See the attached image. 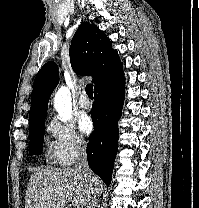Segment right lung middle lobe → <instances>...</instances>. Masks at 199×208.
<instances>
[{"mask_svg": "<svg viewBox=\"0 0 199 208\" xmlns=\"http://www.w3.org/2000/svg\"><path fill=\"white\" fill-rule=\"evenodd\" d=\"M45 133V123L30 130V145L29 153L30 154H40L43 149V140Z\"/></svg>", "mask_w": 199, "mask_h": 208, "instance_id": "1", "label": "right lung middle lobe"}]
</instances>
